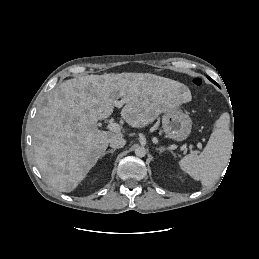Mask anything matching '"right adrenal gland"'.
<instances>
[{
    "label": "right adrenal gland",
    "instance_id": "obj_1",
    "mask_svg": "<svg viewBox=\"0 0 259 259\" xmlns=\"http://www.w3.org/2000/svg\"><path fill=\"white\" fill-rule=\"evenodd\" d=\"M116 149H111V150H108L106 152L103 153V156L108 154V153H114Z\"/></svg>",
    "mask_w": 259,
    "mask_h": 259
}]
</instances>
